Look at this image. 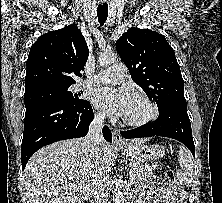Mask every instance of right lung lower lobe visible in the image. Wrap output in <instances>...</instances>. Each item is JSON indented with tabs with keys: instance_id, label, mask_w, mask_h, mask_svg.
<instances>
[{
	"instance_id": "obj_1",
	"label": "right lung lower lobe",
	"mask_w": 222,
	"mask_h": 203,
	"mask_svg": "<svg viewBox=\"0 0 222 203\" xmlns=\"http://www.w3.org/2000/svg\"><path fill=\"white\" fill-rule=\"evenodd\" d=\"M93 117L88 101L74 105L48 101L27 106L21 146L22 169L41 147L59 140L84 137ZM103 136L112 142L107 126L103 127Z\"/></svg>"
}]
</instances>
